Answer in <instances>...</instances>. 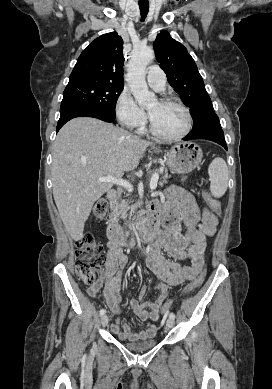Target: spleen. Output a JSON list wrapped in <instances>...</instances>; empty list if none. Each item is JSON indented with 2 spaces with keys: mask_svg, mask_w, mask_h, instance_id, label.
Wrapping results in <instances>:
<instances>
[{
  "mask_svg": "<svg viewBox=\"0 0 272 389\" xmlns=\"http://www.w3.org/2000/svg\"><path fill=\"white\" fill-rule=\"evenodd\" d=\"M210 191L215 198L222 197L228 187V167L221 157H216L209 165Z\"/></svg>",
  "mask_w": 272,
  "mask_h": 389,
  "instance_id": "spleen-1",
  "label": "spleen"
}]
</instances>
